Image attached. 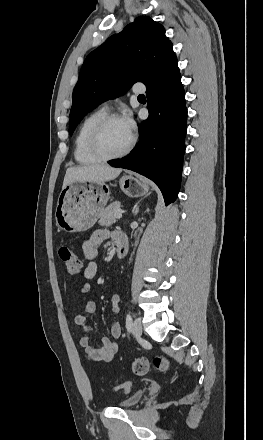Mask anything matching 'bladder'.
<instances>
[{
	"mask_svg": "<svg viewBox=\"0 0 263 440\" xmlns=\"http://www.w3.org/2000/svg\"><path fill=\"white\" fill-rule=\"evenodd\" d=\"M143 397V391H137L118 403L119 408L128 409L134 407Z\"/></svg>",
	"mask_w": 263,
	"mask_h": 440,
	"instance_id": "1",
	"label": "bladder"
}]
</instances>
